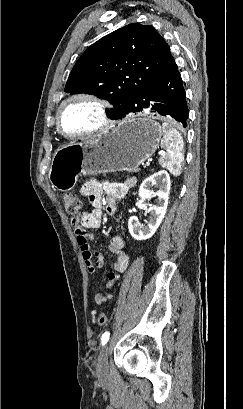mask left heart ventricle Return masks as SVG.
<instances>
[{
    "label": "left heart ventricle",
    "mask_w": 243,
    "mask_h": 409,
    "mask_svg": "<svg viewBox=\"0 0 243 409\" xmlns=\"http://www.w3.org/2000/svg\"><path fill=\"white\" fill-rule=\"evenodd\" d=\"M100 124L96 106L85 100H75L62 111L61 127L67 134H79L97 128Z\"/></svg>",
    "instance_id": "b2bd125f"
}]
</instances>
